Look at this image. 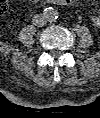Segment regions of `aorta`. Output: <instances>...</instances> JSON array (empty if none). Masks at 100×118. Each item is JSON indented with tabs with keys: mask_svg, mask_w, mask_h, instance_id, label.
Here are the masks:
<instances>
[{
	"mask_svg": "<svg viewBox=\"0 0 100 118\" xmlns=\"http://www.w3.org/2000/svg\"><path fill=\"white\" fill-rule=\"evenodd\" d=\"M43 14L47 21L53 22L58 19V11L52 7L45 8Z\"/></svg>",
	"mask_w": 100,
	"mask_h": 118,
	"instance_id": "aorta-1",
	"label": "aorta"
}]
</instances>
